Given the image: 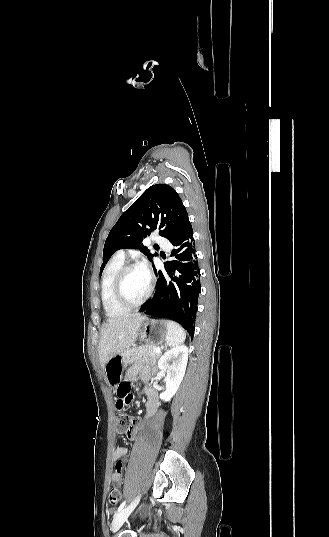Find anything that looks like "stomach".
Returning a JSON list of instances; mask_svg holds the SVG:
<instances>
[{"label":"stomach","instance_id":"0dacf381","mask_svg":"<svg viewBox=\"0 0 329 537\" xmlns=\"http://www.w3.org/2000/svg\"><path fill=\"white\" fill-rule=\"evenodd\" d=\"M139 338L153 346L161 345L166 341L168 335V322L165 320H153L145 317L142 323ZM105 377L108 383L116 385L122 378L123 361L121 355L112 357L104 367Z\"/></svg>","mask_w":329,"mask_h":537}]
</instances>
